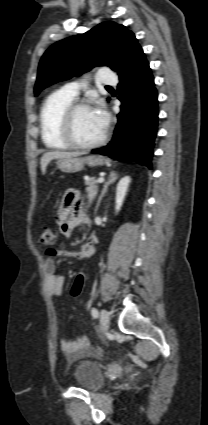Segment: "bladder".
<instances>
[{"label":"bladder","mask_w":208,"mask_h":425,"mask_svg":"<svg viewBox=\"0 0 208 425\" xmlns=\"http://www.w3.org/2000/svg\"><path fill=\"white\" fill-rule=\"evenodd\" d=\"M73 380L78 387L95 391L104 383L102 367L92 359H83L75 366Z\"/></svg>","instance_id":"obj_1"}]
</instances>
